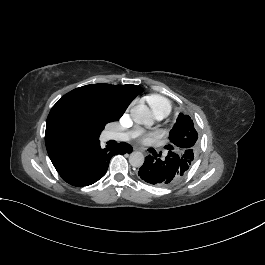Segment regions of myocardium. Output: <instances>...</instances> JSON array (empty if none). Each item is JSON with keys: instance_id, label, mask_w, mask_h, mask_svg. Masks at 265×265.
<instances>
[{"instance_id": "obj_1", "label": "myocardium", "mask_w": 265, "mask_h": 265, "mask_svg": "<svg viewBox=\"0 0 265 265\" xmlns=\"http://www.w3.org/2000/svg\"><path fill=\"white\" fill-rule=\"evenodd\" d=\"M149 109L153 110V112L155 113L154 109H152V108H150V107H149ZM155 114H156V113H155ZM156 116H157V119H158V120H161V119L164 117V116H163V117H160V116H158V115H156Z\"/></svg>"}]
</instances>
